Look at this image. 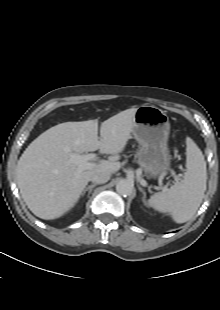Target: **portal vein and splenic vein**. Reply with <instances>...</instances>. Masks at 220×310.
Listing matches in <instances>:
<instances>
[{"label": "portal vein and splenic vein", "instance_id": "obj_1", "mask_svg": "<svg viewBox=\"0 0 220 310\" xmlns=\"http://www.w3.org/2000/svg\"><path fill=\"white\" fill-rule=\"evenodd\" d=\"M96 158V155L91 154H85V155H79L73 153L70 157V161L74 164H76L81 170L83 169H90L94 167V163L89 162L91 160H94ZM175 179L178 180V178L175 176ZM164 190H167V187L163 188Z\"/></svg>", "mask_w": 220, "mask_h": 310}]
</instances>
